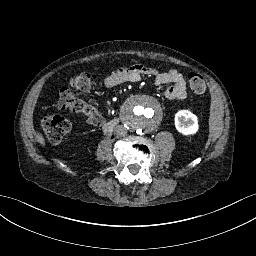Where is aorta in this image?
<instances>
[{
    "instance_id": "obj_1",
    "label": "aorta",
    "mask_w": 256,
    "mask_h": 256,
    "mask_svg": "<svg viewBox=\"0 0 256 256\" xmlns=\"http://www.w3.org/2000/svg\"><path fill=\"white\" fill-rule=\"evenodd\" d=\"M125 118L132 129L139 132H148L159 125L162 118V109L155 98L148 95H139L128 102L125 109Z\"/></svg>"
}]
</instances>
